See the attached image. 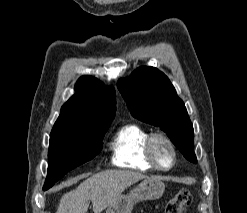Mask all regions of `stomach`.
I'll return each mask as SVG.
<instances>
[{"mask_svg": "<svg viewBox=\"0 0 247 213\" xmlns=\"http://www.w3.org/2000/svg\"><path fill=\"white\" fill-rule=\"evenodd\" d=\"M165 190L164 183L156 177L146 178L128 194L121 195L107 207L105 213H131L137 202L159 199Z\"/></svg>", "mask_w": 247, "mask_h": 213, "instance_id": "stomach-1", "label": "stomach"}]
</instances>
